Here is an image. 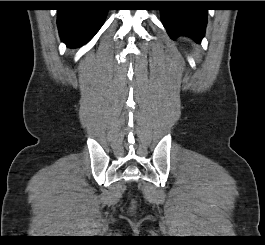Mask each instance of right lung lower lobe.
Returning <instances> with one entry per match:
<instances>
[{"instance_id":"obj_1","label":"right lung lower lobe","mask_w":265,"mask_h":245,"mask_svg":"<svg viewBox=\"0 0 265 245\" xmlns=\"http://www.w3.org/2000/svg\"><path fill=\"white\" fill-rule=\"evenodd\" d=\"M107 11L99 1H82L77 8L58 10L62 41L71 48L87 43L103 25Z\"/></svg>"}]
</instances>
